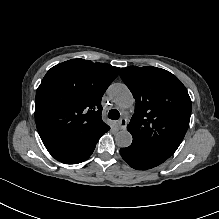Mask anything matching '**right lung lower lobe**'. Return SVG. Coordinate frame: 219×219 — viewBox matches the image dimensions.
I'll return each instance as SVG.
<instances>
[{"label": "right lung lower lobe", "instance_id": "right-lung-lower-lobe-1", "mask_svg": "<svg viewBox=\"0 0 219 219\" xmlns=\"http://www.w3.org/2000/svg\"><path fill=\"white\" fill-rule=\"evenodd\" d=\"M110 127L108 126L103 130L96 139L87 144H70V145H57L46 147L48 152L58 161L65 164H77L85 161L90 157L95 149L96 143L99 138L106 133Z\"/></svg>", "mask_w": 219, "mask_h": 219}]
</instances>
